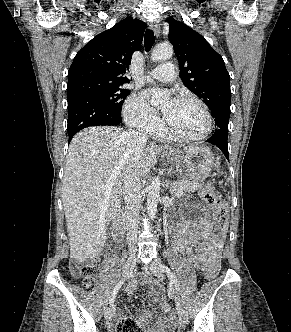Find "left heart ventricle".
Here are the masks:
<instances>
[{
  "label": "left heart ventricle",
  "instance_id": "left-heart-ventricle-1",
  "mask_svg": "<svg viewBox=\"0 0 291 332\" xmlns=\"http://www.w3.org/2000/svg\"><path fill=\"white\" fill-rule=\"evenodd\" d=\"M165 119L177 132L196 136L206 129V118L201 108L188 101H168L162 106Z\"/></svg>",
  "mask_w": 291,
  "mask_h": 332
}]
</instances>
